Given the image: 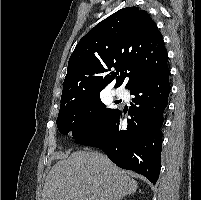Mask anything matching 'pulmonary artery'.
Segmentation results:
<instances>
[{"instance_id":"1","label":"pulmonary artery","mask_w":201,"mask_h":200,"mask_svg":"<svg viewBox=\"0 0 201 200\" xmlns=\"http://www.w3.org/2000/svg\"><path fill=\"white\" fill-rule=\"evenodd\" d=\"M113 95H115L118 98H124L126 95L125 90L117 88L113 90Z\"/></svg>"}]
</instances>
